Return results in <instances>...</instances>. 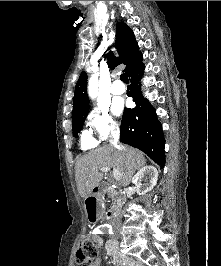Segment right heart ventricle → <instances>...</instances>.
I'll return each instance as SVG.
<instances>
[{"instance_id":"e07e8e85","label":"right heart ventricle","mask_w":221,"mask_h":266,"mask_svg":"<svg viewBox=\"0 0 221 266\" xmlns=\"http://www.w3.org/2000/svg\"><path fill=\"white\" fill-rule=\"evenodd\" d=\"M81 145L83 149H90L96 146V140L88 132H83L81 137Z\"/></svg>"}]
</instances>
